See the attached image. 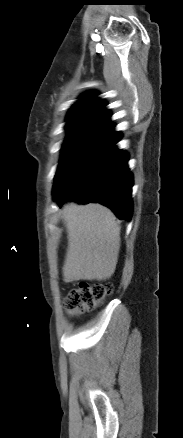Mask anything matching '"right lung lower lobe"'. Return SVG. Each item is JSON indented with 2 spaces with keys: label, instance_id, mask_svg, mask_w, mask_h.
Segmentation results:
<instances>
[{
  "label": "right lung lower lobe",
  "instance_id": "right-lung-lower-lobe-1",
  "mask_svg": "<svg viewBox=\"0 0 183 438\" xmlns=\"http://www.w3.org/2000/svg\"><path fill=\"white\" fill-rule=\"evenodd\" d=\"M114 124L101 128L55 178L53 194L61 206L66 200L98 202L118 218L130 220L133 211L128 154L115 144L121 134Z\"/></svg>",
  "mask_w": 183,
  "mask_h": 438
}]
</instances>
